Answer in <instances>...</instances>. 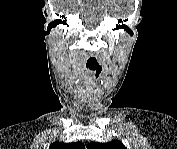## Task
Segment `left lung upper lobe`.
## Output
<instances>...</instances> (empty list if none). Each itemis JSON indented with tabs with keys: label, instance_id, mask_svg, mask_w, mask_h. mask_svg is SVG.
<instances>
[{
	"label": "left lung upper lobe",
	"instance_id": "obj_1",
	"mask_svg": "<svg viewBox=\"0 0 177 149\" xmlns=\"http://www.w3.org/2000/svg\"><path fill=\"white\" fill-rule=\"evenodd\" d=\"M89 149H126V147L119 141L113 140L107 143L91 142L87 145Z\"/></svg>",
	"mask_w": 177,
	"mask_h": 149
}]
</instances>
